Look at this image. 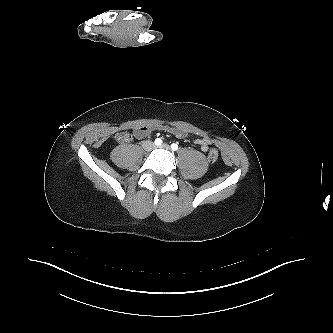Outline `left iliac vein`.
<instances>
[{
  "instance_id": "4c4485c4",
  "label": "left iliac vein",
  "mask_w": 333,
  "mask_h": 333,
  "mask_svg": "<svg viewBox=\"0 0 333 333\" xmlns=\"http://www.w3.org/2000/svg\"><path fill=\"white\" fill-rule=\"evenodd\" d=\"M160 148L165 149V150H170V147L167 144L161 145Z\"/></svg>"
}]
</instances>
